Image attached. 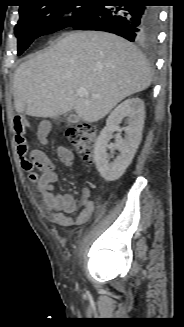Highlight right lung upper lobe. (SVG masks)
I'll return each mask as SVG.
<instances>
[{"label":"right lung upper lobe","instance_id":"right-lung-upper-lobe-1","mask_svg":"<svg viewBox=\"0 0 184 327\" xmlns=\"http://www.w3.org/2000/svg\"><path fill=\"white\" fill-rule=\"evenodd\" d=\"M41 1L42 0H21L22 5L20 6V10H22V9L32 5V4L41 2Z\"/></svg>","mask_w":184,"mask_h":327}]
</instances>
